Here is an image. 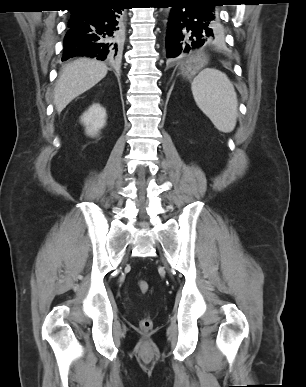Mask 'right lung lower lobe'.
<instances>
[{
  "mask_svg": "<svg viewBox=\"0 0 306 387\" xmlns=\"http://www.w3.org/2000/svg\"><path fill=\"white\" fill-rule=\"evenodd\" d=\"M122 0H105L72 10L62 61L75 56L115 59L122 43Z\"/></svg>",
  "mask_w": 306,
  "mask_h": 387,
  "instance_id": "obj_1",
  "label": "right lung lower lobe"
}]
</instances>
